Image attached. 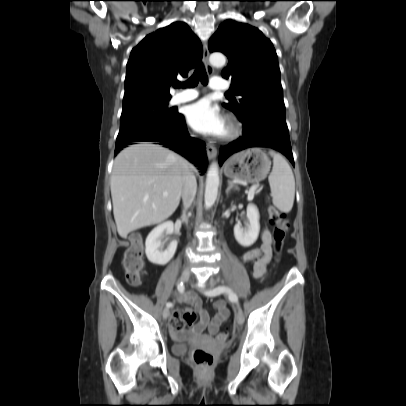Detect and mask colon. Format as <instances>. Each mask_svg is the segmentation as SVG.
<instances>
[{
  "mask_svg": "<svg viewBox=\"0 0 406 406\" xmlns=\"http://www.w3.org/2000/svg\"><path fill=\"white\" fill-rule=\"evenodd\" d=\"M269 222L273 226V245L277 254L280 253L286 239L288 222L285 214L273 206L268 208ZM143 245L138 236H134L130 245L124 252L122 265L126 280L129 284L136 285L141 282L145 274ZM196 319L193 312H174L170 319V325L174 330H183L187 325H191ZM219 343H226L230 340L228 332H221L216 337ZM192 359L197 367L206 368L213 363L211 353L202 349L196 350Z\"/></svg>",
  "mask_w": 406,
  "mask_h": 406,
  "instance_id": "1",
  "label": "colon"
}]
</instances>
